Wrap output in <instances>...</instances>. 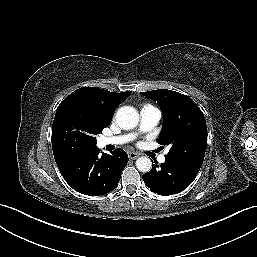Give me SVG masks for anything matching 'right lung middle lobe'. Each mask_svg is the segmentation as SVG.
I'll list each match as a JSON object with an SVG mask.
<instances>
[{
  "mask_svg": "<svg viewBox=\"0 0 257 257\" xmlns=\"http://www.w3.org/2000/svg\"><path fill=\"white\" fill-rule=\"evenodd\" d=\"M74 121L76 123L77 129L70 134V139L72 142L84 143L89 147H96V137L98 133L109 126L108 124H103L95 119H92L83 114L74 115Z\"/></svg>",
  "mask_w": 257,
  "mask_h": 257,
  "instance_id": "1",
  "label": "right lung middle lobe"
}]
</instances>
